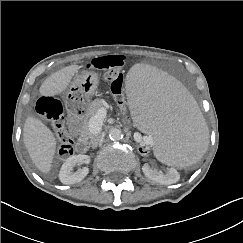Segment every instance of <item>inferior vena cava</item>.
<instances>
[{"label":"inferior vena cava","instance_id":"inferior-vena-cava-1","mask_svg":"<svg viewBox=\"0 0 243 243\" xmlns=\"http://www.w3.org/2000/svg\"><path fill=\"white\" fill-rule=\"evenodd\" d=\"M100 141H101L100 136H98V135L94 136L91 140L92 148H96L98 146V144L100 143Z\"/></svg>","mask_w":243,"mask_h":243}]
</instances>
